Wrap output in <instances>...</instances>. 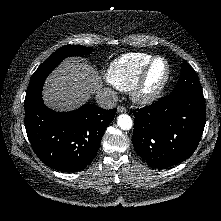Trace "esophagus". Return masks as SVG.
<instances>
[{
	"label": "esophagus",
	"mask_w": 221,
	"mask_h": 221,
	"mask_svg": "<svg viewBox=\"0 0 221 221\" xmlns=\"http://www.w3.org/2000/svg\"><path fill=\"white\" fill-rule=\"evenodd\" d=\"M127 110H126V108L124 107V106H118L117 107V112L118 113H124V112H126Z\"/></svg>",
	"instance_id": "obj_1"
}]
</instances>
